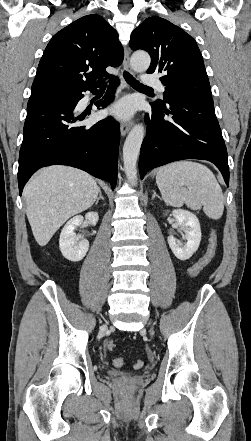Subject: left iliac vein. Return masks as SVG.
Returning a JSON list of instances; mask_svg holds the SVG:
<instances>
[{
	"instance_id": "left-iliac-vein-1",
	"label": "left iliac vein",
	"mask_w": 251,
	"mask_h": 441,
	"mask_svg": "<svg viewBox=\"0 0 251 441\" xmlns=\"http://www.w3.org/2000/svg\"><path fill=\"white\" fill-rule=\"evenodd\" d=\"M154 334V331H153V329L151 328L150 329V335H153Z\"/></svg>"
}]
</instances>
